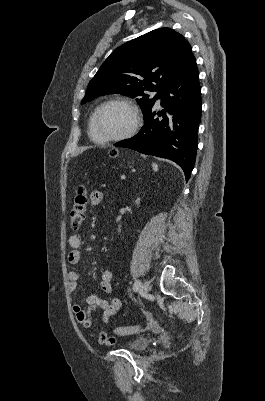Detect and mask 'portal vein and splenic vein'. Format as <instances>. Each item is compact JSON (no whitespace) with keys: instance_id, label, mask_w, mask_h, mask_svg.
Returning <instances> with one entry per match:
<instances>
[{"instance_id":"obj_1","label":"portal vein and splenic vein","mask_w":265,"mask_h":401,"mask_svg":"<svg viewBox=\"0 0 265 401\" xmlns=\"http://www.w3.org/2000/svg\"><path fill=\"white\" fill-rule=\"evenodd\" d=\"M120 180H121V181H124V180H125V175H124V174H121V175H120Z\"/></svg>"}]
</instances>
